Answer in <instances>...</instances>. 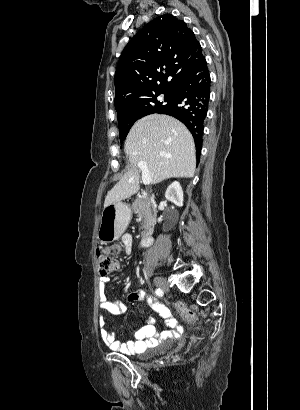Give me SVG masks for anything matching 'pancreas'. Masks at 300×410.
Segmentation results:
<instances>
[{"label": "pancreas", "mask_w": 300, "mask_h": 410, "mask_svg": "<svg viewBox=\"0 0 300 410\" xmlns=\"http://www.w3.org/2000/svg\"><path fill=\"white\" fill-rule=\"evenodd\" d=\"M132 209L138 214L140 224V232L142 236H146L153 232L155 224V215L151 209V204L145 196L137 198L132 204Z\"/></svg>", "instance_id": "cf45deb5"}]
</instances>
